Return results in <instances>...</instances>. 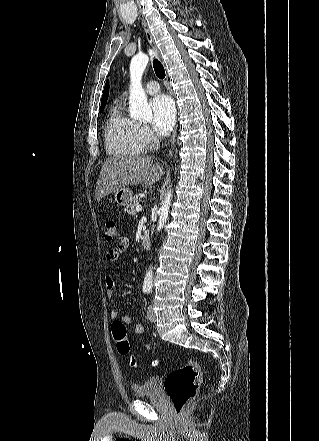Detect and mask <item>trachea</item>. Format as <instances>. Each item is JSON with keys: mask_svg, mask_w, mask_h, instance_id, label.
<instances>
[{"mask_svg": "<svg viewBox=\"0 0 319 441\" xmlns=\"http://www.w3.org/2000/svg\"><path fill=\"white\" fill-rule=\"evenodd\" d=\"M153 68H154V71L159 79L165 78V70L159 60H157V59L153 60Z\"/></svg>", "mask_w": 319, "mask_h": 441, "instance_id": "1", "label": "trachea"}]
</instances>
